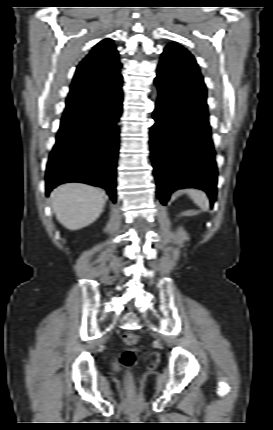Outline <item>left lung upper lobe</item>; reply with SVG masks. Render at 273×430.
Listing matches in <instances>:
<instances>
[{"instance_id": "5c2ea615", "label": "left lung upper lobe", "mask_w": 273, "mask_h": 430, "mask_svg": "<svg viewBox=\"0 0 273 430\" xmlns=\"http://www.w3.org/2000/svg\"><path fill=\"white\" fill-rule=\"evenodd\" d=\"M157 71L175 85L179 95L190 98L207 110V92L202 74L194 57L184 47L176 43L167 45Z\"/></svg>"}]
</instances>
